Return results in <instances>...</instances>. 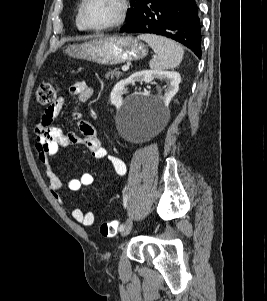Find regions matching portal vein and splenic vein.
<instances>
[{
	"instance_id": "obj_1",
	"label": "portal vein and splenic vein",
	"mask_w": 267,
	"mask_h": 301,
	"mask_svg": "<svg viewBox=\"0 0 267 301\" xmlns=\"http://www.w3.org/2000/svg\"><path fill=\"white\" fill-rule=\"evenodd\" d=\"M128 70H129V66H123V67H122V71L126 72V71H128Z\"/></svg>"
}]
</instances>
